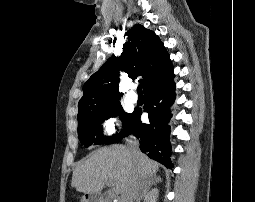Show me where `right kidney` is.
Instances as JSON below:
<instances>
[{
  "label": "right kidney",
  "instance_id": "obj_1",
  "mask_svg": "<svg viewBox=\"0 0 255 202\" xmlns=\"http://www.w3.org/2000/svg\"><path fill=\"white\" fill-rule=\"evenodd\" d=\"M158 193H159V191L157 188L153 189L145 196L144 202H156Z\"/></svg>",
  "mask_w": 255,
  "mask_h": 202
}]
</instances>
